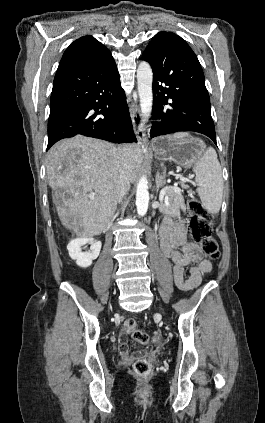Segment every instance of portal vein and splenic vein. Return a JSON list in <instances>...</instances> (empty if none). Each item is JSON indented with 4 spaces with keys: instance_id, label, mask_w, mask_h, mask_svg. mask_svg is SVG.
<instances>
[{
    "instance_id": "portal-vein-and-splenic-vein-1",
    "label": "portal vein and splenic vein",
    "mask_w": 265,
    "mask_h": 423,
    "mask_svg": "<svg viewBox=\"0 0 265 423\" xmlns=\"http://www.w3.org/2000/svg\"><path fill=\"white\" fill-rule=\"evenodd\" d=\"M191 177H189V178H181L180 180L182 181V182H187V181H189V179H190ZM170 189H173V190H175V191H180V189L177 187V185H174V186H166V187H164L161 191H160V195H159V201H160V203H163L164 201L165 202H167L166 200H165V194H166V192L168 191V190H170Z\"/></svg>"
}]
</instances>
